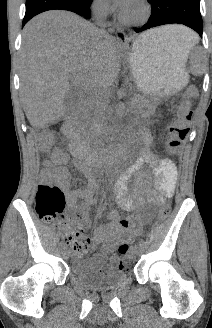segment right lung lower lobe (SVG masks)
Instances as JSON below:
<instances>
[{
	"label": "right lung lower lobe",
	"instance_id": "1",
	"mask_svg": "<svg viewBox=\"0 0 212 328\" xmlns=\"http://www.w3.org/2000/svg\"><path fill=\"white\" fill-rule=\"evenodd\" d=\"M91 3L92 0H26V12L22 27L35 15L53 9L68 10L85 18H90Z\"/></svg>",
	"mask_w": 212,
	"mask_h": 328
}]
</instances>
